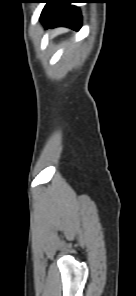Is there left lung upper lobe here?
Returning <instances> with one entry per match:
<instances>
[{
  "label": "left lung upper lobe",
  "mask_w": 136,
  "mask_h": 296,
  "mask_svg": "<svg viewBox=\"0 0 136 296\" xmlns=\"http://www.w3.org/2000/svg\"><path fill=\"white\" fill-rule=\"evenodd\" d=\"M54 1L55 0H45V2L47 3L46 6L44 7L43 11H42V14H41V19H44L47 14L50 12V10L52 9L53 7V4H54Z\"/></svg>",
  "instance_id": "obj_1"
}]
</instances>
